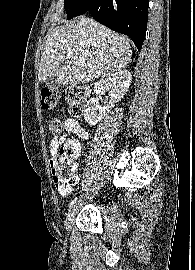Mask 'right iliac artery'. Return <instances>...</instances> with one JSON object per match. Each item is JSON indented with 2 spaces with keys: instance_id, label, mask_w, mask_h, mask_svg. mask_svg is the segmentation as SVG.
I'll list each match as a JSON object with an SVG mask.
<instances>
[{
  "instance_id": "right-iliac-artery-1",
  "label": "right iliac artery",
  "mask_w": 195,
  "mask_h": 270,
  "mask_svg": "<svg viewBox=\"0 0 195 270\" xmlns=\"http://www.w3.org/2000/svg\"><path fill=\"white\" fill-rule=\"evenodd\" d=\"M77 201V198L73 199L69 204V211L74 207L75 203Z\"/></svg>"
}]
</instances>
